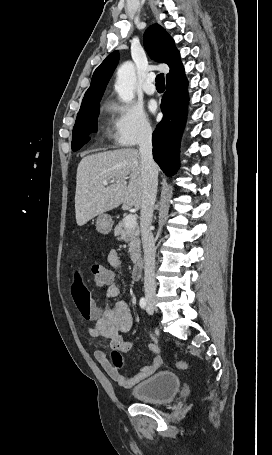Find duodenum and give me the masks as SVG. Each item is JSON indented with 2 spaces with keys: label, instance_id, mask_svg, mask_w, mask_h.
I'll list each match as a JSON object with an SVG mask.
<instances>
[{
  "label": "duodenum",
  "instance_id": "410a0bca",
  "mask_svg": "<svg viewBox=\"0 0 272 455\" xmlns=\"http://www.w3.org/2000/svg\"><path fill=\"white\" fill-rule=\"evenodd\" d=\"M143 266H144L143 258L137 257L132 269V278L134 280H139L141 278Z\"/></svg>",
  "mask_w": 272,
  "mask_h": 455
}]
</instances>
